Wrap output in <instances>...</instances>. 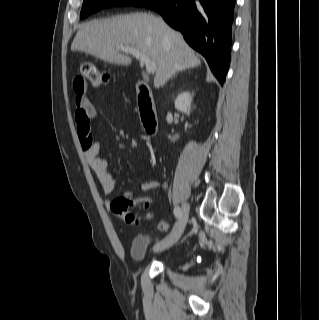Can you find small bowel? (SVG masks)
I'll return each instance as SVG.
<instances>
[{
	"instance_id": "small-bowel-1",
	"label": "small bowel",
	"mask_w": 319,
	"mask_h": 320,
	"mask_svg": "<svg viewBox=\"0 0 319 320\" xmlns=\"http://www.w3.org/2000/svg\"><path fill=\"white\" fill-rule=\"evenodd\" d=\"M85 86L77 87L75 85V105H76V113L75 118L77 122V126L79 128L80 121L82 116L85 115L89 120H93L96 117V110L94 106L91 104L89 99L85 95ZM80 142L83 148L84 156L93 169L96 178L98 179L102 191L105 195H110L113 193L115 189V182L112 178L111 174L108 172V163L105 158L99 156V151L101 147L100 140H92L90 144H86L84 142V138L79 132ZM160 186V182L157 180H149L143 181L140 184V188L144 192H148L154 190ZM142 203L140 204L144 208L150 210L152 203L151 200L148 198H141Z\"/></svg>"
}]
</instances>
